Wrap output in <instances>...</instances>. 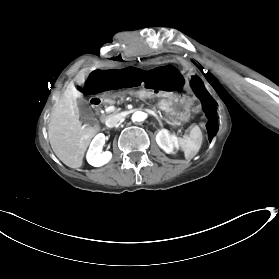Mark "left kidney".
Segmentation results:
<instances>
[{
	"label": "left kidney",
	"instance_id": "left-kidney-1",
	"mask_svg": "<svg viewBox=\"0 0 279 279\" xmlns=\"http://www.w3.org/2000/svg\"><path fill=\"white\" fill-rule=\"evenodd\" d=\"M156 140L160 148L166 153H172L173 147H177V138L165 129L158 132Z\"/></svg>",
	"mask_w": 279,
	"mask_h": 279
}]
</instances>
